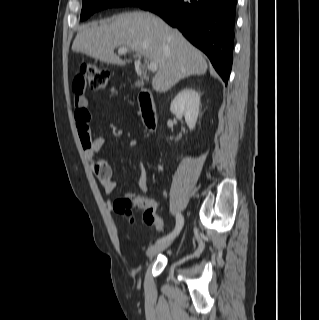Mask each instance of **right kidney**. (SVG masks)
<instances>
[{"label":"right kidney","mask_w":319,"mask_h":320,"mask_svg":"<svg viewBox=\"0 0 319 320\" xmlns=\"http://www.w3.org/2000/svg\"><path fill=\"white\" fill-rule=\"evenodd\" d=\"M200 106V94L191 88L180 91L170 105V111L175 115H183L190 130L197 122Z\"/></svg>","instance_id":"1"}]
</instances>
